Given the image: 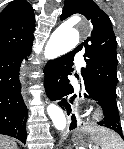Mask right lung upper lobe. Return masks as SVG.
I'll return each mask as SVG.
<instances>
[{
    "instance_id": "1",
    "label": "right lung upper lobe",
    "mask_w": 124,
    "mask_h": 149,
    "mask_svg": "<svg viewBox=\"0 0 124 149\" xmlns=\"http://www.w3.org/2000/svg\"><path fill=\"white\" fill-rule=\"evenodd\" d=\"M35 16L25 0H14L0 12V52L25 49L33 44Z\"/></svg>"
}]
</instances>
